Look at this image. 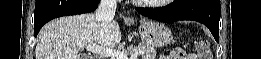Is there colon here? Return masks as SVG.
<instances>
[{
  "label": "colon",
  "mask_w": 261,
  "mask_h": 59,
  "mask_svg": "<svg viewBox=\"0 0 261 59\" xmlns=\"http://www.w3.org/2000/svg\"><path fill=\"white\" fill-rule=\"evenodd\" d=\"M198 49V53L199 56H197L196 58H201V59H208L210 58L209 56V48L208 46L201 42L198 44L197 46ZM171 56L173 57V59H191L190 56H188V54H186L182 49L180 48H176L171 52Z\"/></svg>",
  "instance_id": "obj_1"
}]
</instances>
